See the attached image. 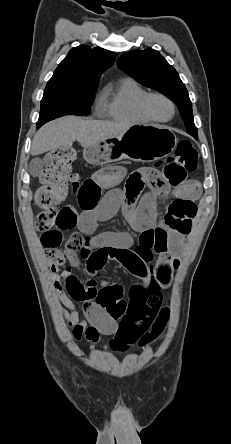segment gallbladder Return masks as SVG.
Wrapping results in <instances>:
<instances>
[{
	"label": "gallbladder",
	"instance_id": "obj_1",
	"mask_svg": "<svg viewBox=\"0 0 231 444\" xmlns=\"http://www.w3.org/2000/svg\"><path fill=\"white\" fill-rule=\"evenodd\" d=\"M43 168L42 160L39 158L33 159L29 164V172L32 176H38Z\"/></svg>",
	"mask_w": 231,
	"mask_h": 444
}]
</instances>
